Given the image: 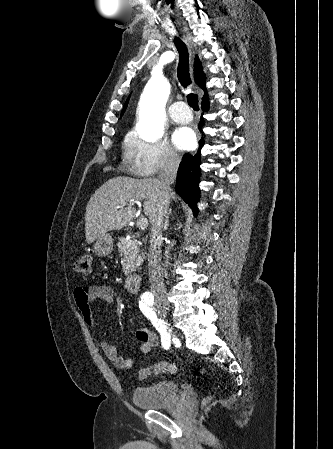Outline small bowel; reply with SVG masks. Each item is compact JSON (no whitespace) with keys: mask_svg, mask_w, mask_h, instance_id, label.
I'll return each instance as SVG.
<instances>
[{"mask_svg":"<svg viewBox=\"0 0 333 449\" xmlns=\"http://www.w3.org/2000/svg\"><path fill=\"white\" fill-rule=\"evenodd\" d=\"M73 298L77 309L85 324L91 328L96 327V322L91 305L93 303L110 304L114 299L113 289L105 284L94 286H78L73 291ZM136 339L140 345V351L143 354L149 353L157 344L156 335L148 328H140L136 332ZM102 350L106 357L120 369H129L133 361L129 358H123L119 355L115 345L102 342Z\"/></svg>","mask_w":333,"mask_h":449,"instance_id":"1","label":"small bowel"}]
</instances>
